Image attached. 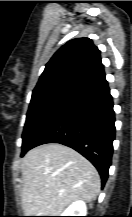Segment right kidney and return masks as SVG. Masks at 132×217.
<instances>
[{
    "instance_id": "obj_1",
    "label": "right kidney",
    "mask_w": 132,
    "mask_h": 217,
    "mask_svg": "<svg viewBox=\"0 0 132 217\" xmlns=\"http://www.w3.org/2000/svg\"><path fill=\"white\" fill-rule=\"evenodd\" d=\"M87 207L83 201H76L71 204L61 216H86Z\"/></svg>"
}]
</instances>
